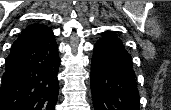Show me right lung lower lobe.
<instances>
[{"mask_svg":"<svg viewBox=\"0 0 171 110\" xmlns=\"http://www.w3.org/2000/svg\"><path fill=\"white\" fill-rule=\"evenodd\" d=\"M54 34L16 51L6 62L0 110H55L60 59Z\"/></svg>","mask_w":171,"mask_h":110,"instance_id":"obj_1","label":"right lung lower lobe"}]
</instances>
